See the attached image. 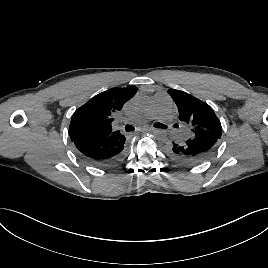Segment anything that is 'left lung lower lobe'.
I'll list each match as a JSON object with an SVG mask.
<instances>
[{
	"mask_svg": "<svg viewBox=\"0 0 268 268\" xmlns=\"http://www.w3.org/2000/svg\"><path fill=\"white\" fill-rule=\"evenodd\" d=\"M219 138L215 136L190 137L183 141L168 144V155L178 163L196 166L208 160L216 151Z\"/></svg>",
	"mask_w": 268,
	"mask_h": 268,
	"instance_id": "obj_1",
	"label": "left lung lower lobe"
}]
</instances>
